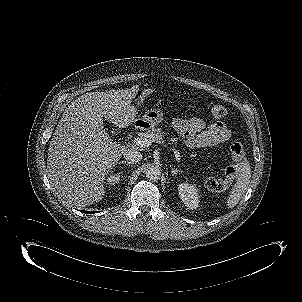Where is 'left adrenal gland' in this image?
I'll return each mask as SVG.
<instances>
[{"label": "left adrenal gland", "instance_id": "left-adrenal-gland-1", "mask_svg": "<svg viewBox=\"0 0 302 302\" xmlns=\"http://www.w3.org/2000/svg\"><path fill=\"white\" fill-rule=\"evenodd\" d=\"M171 172H172V176L177 175L178 173H180L181 171L178 170L177 168L171 167Z\"/></svg>", "mask_w": 302, "mask_h": 302}]
</instances>
